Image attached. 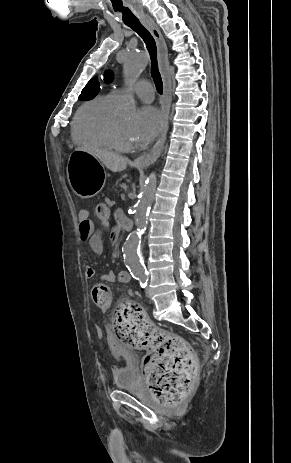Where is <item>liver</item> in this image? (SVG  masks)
I'll list each match as a JSON object with an SVG mask.
<instances>
[{
	"label": "liver",
	"instance_id": "obj_1",
	"mask_svg": "<svg viewBox=\"0 0 291 463\" xmlns=\"http://www.w3.org/2000/svg\"><path fill=\"white\" fill-rule=\"evenodd\" d=\"M76 150L86 151L95 158L99 159L112 172H120L126 169L127 159L113 152L100 149H90L79 147Z\"/></svg>",
	"mask_w": 291,
	"mask_h": 463
}]
</instances>
